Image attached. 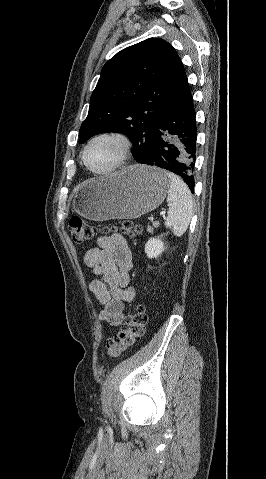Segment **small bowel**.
I'll use <instances>...</instances> for the list:
<instances>
[{"label":"small bowel","mask_w":266,"mask_h":479,"mask_svg":"<svg viewBox=\"0 0 266 479\" xmlns=\"http://www.w3.org/2000/svg\"><path fill=\"white\" fill-rule=\"evenodd\" d=\"M84 264L92 270L95 279L89 289L102 305L99 320L111 326H120L124 320V305L135 297L129 286L132 253L127 241L118 233L100 236L96 247L86 251Z\"/></svg>","instance_id":"1"}]
</instances>
